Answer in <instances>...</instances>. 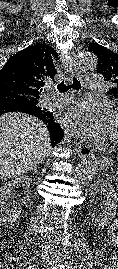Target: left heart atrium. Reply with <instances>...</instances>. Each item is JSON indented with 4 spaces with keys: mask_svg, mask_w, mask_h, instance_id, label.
Returning a JSON list of instances; mask_svg holds the SVG:
<instances>
[{
    "mask_svg": "<svg viewBox=\"0 0 118 269\" xmlns=\"http://www.w3.org/2000/svg\"><path fill=\"white\" fill-rule=\"evenodd\" d=\"M113 111L105 102L80 101L66 115L69 127L79 136L101 139L108 135Z\"/></svg>",
    "mask_w": 118,
    "mask_h": 269,
    "instance_id": "1",
    "label": "left heart atrium"
}]
</instances>
